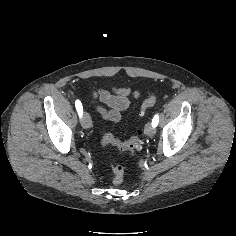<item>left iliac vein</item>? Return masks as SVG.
Returning <instances> with one entry per match:
<instances>
[{"instance_id": "1", "label": "left iliac vein", "mask_w": 236, "mask_h": 236, "mask_svg": "<svg viewBox=\"0 0 236 236\" xmlns=\"http://www.w3.org/2000/svg\"><path fill=\"white\" fill-rule=\"evenodd\" d=\"M144 132L147 136H153L156 133V129L152 126L151 123H147L145 125Z\"/></svg>"}]
</instances>
